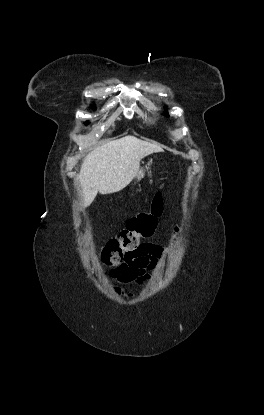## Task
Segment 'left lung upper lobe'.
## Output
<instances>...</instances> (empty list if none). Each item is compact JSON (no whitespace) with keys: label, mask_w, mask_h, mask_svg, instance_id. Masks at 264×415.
Instances as JSON below:
<instances>
[{"label":"left lung upper lobe","mask_w":264,"mask_h":415,"mask_svg":"<svg viewBox=\"0 0 264 415\" xmlns=\"http://www.w3.org/2000/svg\"><path fill=\"white\" fill-rule=\"evenodd\" d=\"M164 114H165L166 116H168V113H167V111H164Z\"/></svg>","instance_id":"left-lung-upper-lobe-1"}]
</instances>
